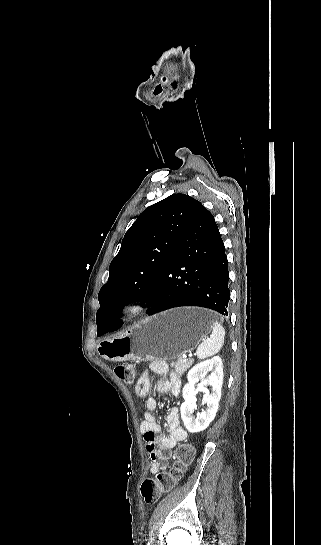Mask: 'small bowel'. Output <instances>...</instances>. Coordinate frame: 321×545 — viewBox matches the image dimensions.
<instances>
[{
  "label": "small bowel",
  "mask_w": 321,
  "mask_h": 545,
  "mask_svg": "<svg viewBox=\"0 0 321 545\" xmlns=\"http://www.w3.org/2000/svg\"><path fill=\"white\" fill-rule=\"evenodd\" d=\"M150 373L162 376L155 382V389L158 393H170L177 396L181 389V380L178 375L169 372V368L164 361L156 360L145 368L135 385L136 394L144 399L147 409L140 430L151 461L150 471L155 474L166 467L168 461L172 458V449L187 438V432L181 426L178 408L173 407L166 418L169 429L168 434H161V426L153 415L157 408V401L149 396Z\"/></svg>",
  "instance_id": "c3829d8e"
}]
</instances>
